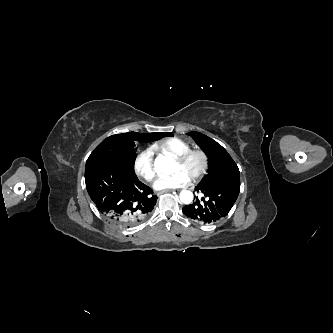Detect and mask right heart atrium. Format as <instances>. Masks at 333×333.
Listing matches in <instances>:
<instances>
[{"mask_svg": "<svg viewBox=\"0 0 333 333\" xmlns=\"http://www.w3.org/2000/svg\"><path fill=\"white\" fill-rule=\"evenodd\" d=\"M135 173L145 181L151 182L155 178L154 152L151 148L141 150L134 159Z\"/></svg>", "mask_w": 333, "mask_h": 333, "instance_id": "d8ad5b80", "label": "right heart atrium"}]
</instances>
